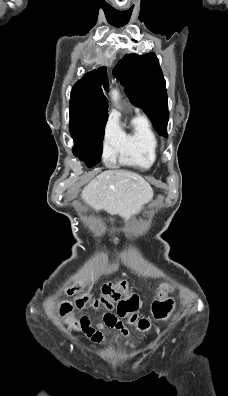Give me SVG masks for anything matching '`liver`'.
Returning a JSON list of instances; mask_svg holds the SVG:
<instances>
[{"mask_svg": "<svg viewBox=\"0 0 228 396\" xmlns=\"http://www.w3.org/2000/svg\"><path fill=\"white\" fill-rule=\"evenodd\" d=\"M82 198L96 211L129 217L137 214L153 198V189L138 174L107 170L84 188Z\"/></svg>", "mask_w": 228, "mask_h": 396, "instance_id": "liver-1", "label": "liver"}]
</instances>
